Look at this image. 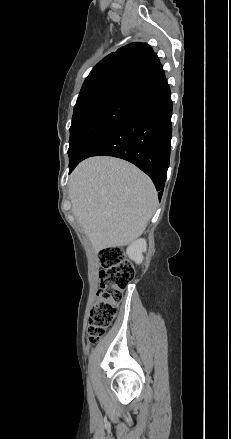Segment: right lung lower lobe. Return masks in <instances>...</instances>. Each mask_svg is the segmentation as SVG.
Returning <instances> with one entry per match:
<instances>
[{
  "label": "right lung lower lobe",
  "instance_id": "98d812e1",
  "mask_svg": "<svg viewBox=\"0 0 231 439\" xmlns=\"http://www.w3.org/2000/svg\"><path fill=\"white\" fill-rule=\"evenodd\" d=\"M140 113L99 133L81 156L69 164V173L85 158L108 155L127 160L145 172L162 196L170 161L172 101L166 78L137 93Z\"/></svg>",
  "mask_w": 231,
  "mask_h": 439
}]
</instances>
